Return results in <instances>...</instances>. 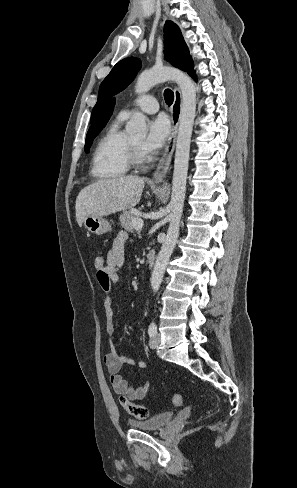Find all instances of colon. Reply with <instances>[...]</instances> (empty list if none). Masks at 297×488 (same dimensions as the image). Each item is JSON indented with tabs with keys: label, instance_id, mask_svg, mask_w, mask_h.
I'll return each mask as SVG.
<instances>
[{
	"label": "colon",
	"instance_id": "5ec220e1",
	"mask_svg": "<svg viewBox=\"0 0 297 488\" xmlns=\"http://www.w3.org/2000/svg\"><path fill=\"white\" fill-rule=\"evenodd\" d=\"M105 265V258L102 256H96L94 259V266L97 270H101ZM120 403L123 408L132 416L139 420H145L149 417V411L146 407L142 405H137L132 403L127 398L121 396ZM172 403L174 406H180L182 403V396L180 394H176L173 397Z\"/></svg>",
	"mask_w": 297,
	"mask_h": 488
}]
</instances>
